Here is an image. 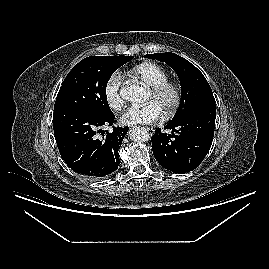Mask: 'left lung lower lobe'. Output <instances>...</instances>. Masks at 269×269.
Listing matches in <instances>:
<instances>
[{
    "label": "left lung lower lobe",
    "mask_w": 269,
    "mask_h": 269,
    "mask_svg": "<svg viewBox=\"0 0 269 269\" xmlns=\"http://www.w3.org/2000/svg\"><path fill=\"white\" fill-rule=\"evenodd\" d=\"M216 106H203L181 120L169 122L162 133L158 128L152 136L155 159L165 169L175 173L193 171L210 150L214 137Z\"/></svg>",
    "instance_id": "obj_1"
}]
</instances>
